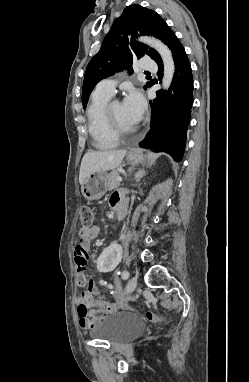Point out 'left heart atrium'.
I'll use <instances>...</instances> for the list:
<instances>
[{"label": "left heart atrium", "instance_id": "left-heart-atrium-1", "mask_svg": "<svg viewBox=\"0 0 249 382\" xmlns=\"http://www.w3.org/2000/svg\"><path fill=\"white\" fill-rule=\"evenodd\" d=\"M126 116L135 124L141 121L145 112V100L140 91L130 89L123 101Z\"/></svg>", "mask_w": 249, "mask_h": 382}]
</instances>
